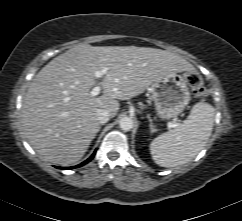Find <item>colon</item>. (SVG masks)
I'll return each mask as SVG.
<instances>
[{"label": "colon", "instance_id": "5ec220e1", "mask_svg": "<svg viewBox=\"0 0 242 221\" xmlns=\"http://www.w3.org/2000/svg\"><path fill=\"white\" fill-rule=\"evenodd\" d=\"M187 78L195 97L201 98L208 94L206 88L202 84V78L197 72H190Z\"/></svg>", "mask_w": 242, "mask_h": 221}]
</instances>
